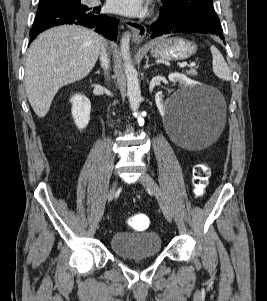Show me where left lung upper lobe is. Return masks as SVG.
Here are the masks:
<instances>
[{"label":"left lung upper lobe","instance_id":"1","mask_svg":"<svg viewBox=\"0 0 267 301\" xmlns=\"http://www.w3.org/2000/svg\"><path fill=\"white\" fill-rule=\"evenodd\" d=\"M213 0H162L160 14L171 20L192 18L221 28L212 6Z\"/></svg>","mask_w":267,"mask_h":301}]
</instances>
